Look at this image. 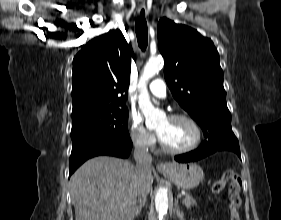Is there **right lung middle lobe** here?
Returning <instances> with one entry per match:
<instances>
[{"mask_svg":"<svg viewBox=\"0 0 281 220\" xmlns=\"http://www.w3.org/2000/svg\"><path fill=\"white\" fill-rule=\"evenodd\" d=\"M127 124V108L72 118V147L88 142L130 141Z\"/></svg>","mask_w":281,"mask_h":220,"instance_id":"obj_1","label":"right lung middle lobe"}]
</instances>
